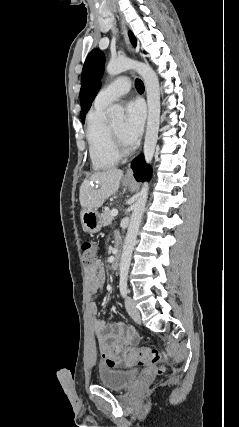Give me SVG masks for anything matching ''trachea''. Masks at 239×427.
<instances>
[{
    "label": "trachea",
    "mask_w": 239,
    "mask_h": 427,
    "mask_svg": "<svg viewBox=\"0 0 239 427\" xmlns=\"http://www.w3.org/2000/svg\"><path fill=\"white\" fill-rule=\"evenodd\" d=\"M135 87L137 89L138 92H143L144 91V84L140 79H136L135 81Z\"/></svg>",
    "instance_id": "1"
}]
</instances>
